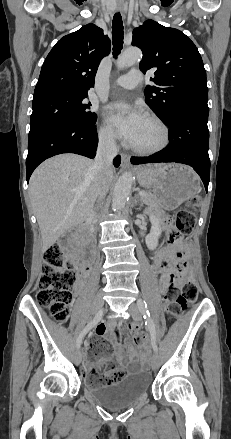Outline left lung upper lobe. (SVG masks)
Returning a JSON list of instances; mask_svg holds the SVG:
<instances>
[{
    "instance_id": "1",
    "label": "left lung upper lobe",
    "mask_w": 231,
    "mask_h": 439,
    "mask_svg": "<svg viewBox=\"0 0 231 439\" xmlns=\"http://www.w3.org/2000/svg\"><path fill=\"white\" fill-rule=\"evenodd\" d=\"M132 45L139 47V64L154 74L145 89V101L162 121L185 105H207L206 71L195 44L183 32L147 20L133 30Z\"/></svg>"
}]
</instances>
